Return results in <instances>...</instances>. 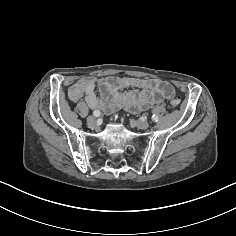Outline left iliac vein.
Returning a JSON list of instances; mask_svg holds the SVG:
<instances>
[{"label": "left iliac vein", "mask_w": 236, "mask_h": 236, "mask_svg": "<svg viewBox=\"0 0 236 236\" xmlns=\"http://www.w3.org/2000/svg\"><path fill=\"white\" fill-rule=\"evenodd\" d=\"M135 125L139 129H147L149 127V123L143 120L136 121Z\"/></svg>", "instance_id": "obj_1"}]
</instances>
